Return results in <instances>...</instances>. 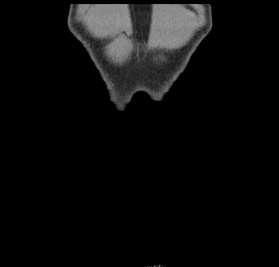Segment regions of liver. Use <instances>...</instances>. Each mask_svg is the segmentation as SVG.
Segmentation results:
<instances>
[{
	"label": "liver",
	"mask_w": 279,
	"mask_h": 267,
	"mask_svg": "<svg viewBox=\"0 0 279 267\" xmlns=\"http://www.w3.org/2000/svg\"><path fill=\"white\" fill-rule=\"evenodd\" d=\"M107 32L108 31L103 28H99L98 30L99 34H106ZM166 42L168 43L169 46H174L176 42V37L174 36V27L171 19H169V23L167 27Z\"/></svg>",
	"instance_id": "1"
}]
</instances>
